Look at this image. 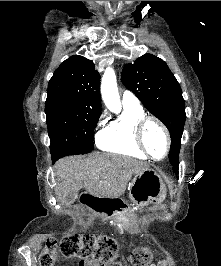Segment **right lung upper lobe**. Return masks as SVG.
I'll return each mask as SVG.
<instances>
[{
    "label": "right lung upper lobe",
    "instance_id": "cb5924a9",
    "mask_svg": "<svg viewBox=\"0 0 221 266\" xmlns=\"http://www.w3.org/2000/svg\"><path fill=\"white\" fill-rule=\"evenodd\" d=\"M47 94L72 97L84 110L101 112L100 74L93 61L83 56L62 62L49 81Z\"/></svg>",
    "mask_w": 221,
    "mask_h": 266
}]
</instances>
